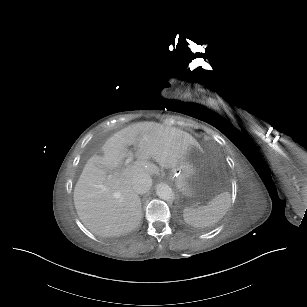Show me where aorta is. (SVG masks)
I'll use <instances>...</instances> for the list:
<instances>
[{"label": "aorta", "instance_id": "obj_1", "mask_svg": "<svg viewBox=\"0 0 307 307\" xmlns=\"http://www.w3.org/2000/svg\"><path fill=\"white\" fill-rule=\"evenodd\" d=\"M157 196L164 201H172L175 198L173 189L164 183H161L156 188Z\"/></svg>", "mask_w": 307, "mask_h": 307}]
</instances>
